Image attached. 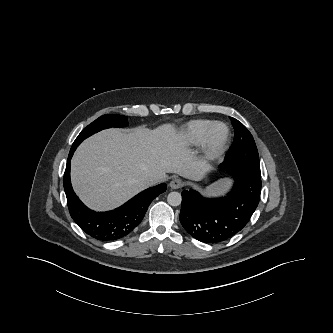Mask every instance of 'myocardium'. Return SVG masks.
<instances>
[{"instance_id": "1", "label": "myocardium", "mask_w": 333, "mask_h": 333, "mask_svg": "<svg viewBox=\"0 0 333 333\" xmlns=\"http://www.w3.org/2000/svg\"><path fill=\"white\" fill-rule=\"evenodd\" d=\"M218 127L224 129V135L218 139L215 136V130ZM230 129L223 122H214L208 130L203 141L202 156L205 161H213L219 158L227 149L230 142Z\"/></svg>"}]
</instances>
